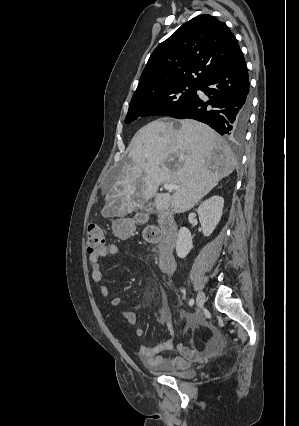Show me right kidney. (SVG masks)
Returning <instances> with one entry per match:
<instances>
[{
	"instance_id": "ca27d5eb",
	"label": "right kidney",
	"mask_w": 299,
	"mask_h": 426,
	"mask_svg": "<svg viewBox=\"0 0 299 426\" xmlns=\"http://www.w3.org/2000/svg\"><path fill=\"white\" fill-rule=\"evenodd\" d=\"M224 207V199L214 195L200 204L197 209L203 235L208 237L212 234L219 223ZM193 248L192 235L186 227L179 230L176 253L180 258H185Z\"/></svg>"
}]
</instances>
